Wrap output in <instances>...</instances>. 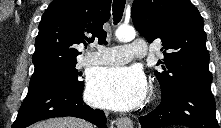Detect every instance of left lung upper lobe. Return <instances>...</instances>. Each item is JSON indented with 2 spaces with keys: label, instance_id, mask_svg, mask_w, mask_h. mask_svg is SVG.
Masks as SVG:
<instances>
[{
  "label": "left lung upper lobe",
  "instance_id": "5c2ea615",
  "mask_svg": "<svg viewBox=\"0 0 221 128\" xmlns=\"http://www.w3.org/2000/svg\"><path fill=\"white\" fill-rule=\"evenodd\" d=\"M131 16L149 43L162 42V71L155 72L162 98L191 85L211 87L203 19L190 0H134Z\"/></svg>",
  "mask_w": 221,
  "mask_h": 128
}]
</instances>
